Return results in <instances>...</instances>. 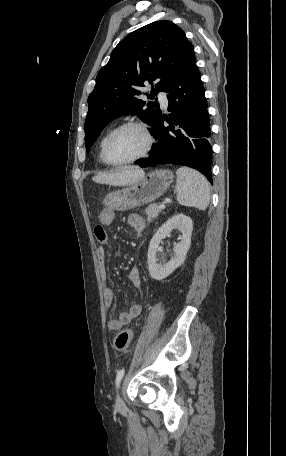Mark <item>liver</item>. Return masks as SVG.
Segmentation results:
<instances>
[{
    "label": "liver",
    "instance_id": "1",
    "mask_svg": "<svg viewBox=\"0 0 286 456\" xmlns=\"http://www.w3.org/2000/svg\"><path fill=\"white\" fill-rule=\"evenodd\" d=\"M145 176V172L138 167H125L115 172H100L92 180L99 184H108L112 186L132 185Z\"/></svg>",
    "mask_w": 286,
    "mask_h": 456
}]
</instances>
